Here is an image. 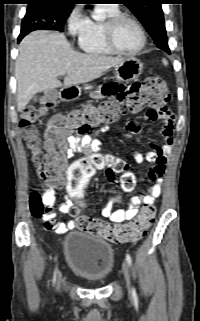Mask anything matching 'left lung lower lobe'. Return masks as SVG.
Here are the masks:
<instances>
[{"instance_id": "1", "label": "left lung lower lobe", "mask_w": 200, "mask_h": 321, "mask_svg": "<svg viewBox=\"0 0 200 321\" xmlns=\"http://www.w3.org/2000/svg\"><path fill=\"white\" fill-rule=\"evenodd\" d=\"M166 52H167V53H170V50L168 49Z\"/></svg>"}]
</instances>
